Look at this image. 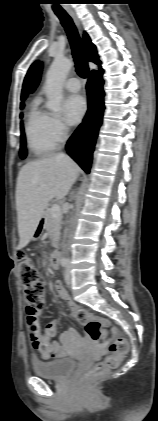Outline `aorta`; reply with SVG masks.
I'll return each instance as SVG.
<instances>
[{"label": "aorta", "instance_id": "762f6f07", "mask_svg": "<svg viewBox=\"0 0 158 421\" xmlns=\"http://www.w3.org/2000/svg\"><path fill=\"white\" fill-rule=\"evenodd\" d=\"M73 66V62L66 58H56L47 74L44 91L48 97V108L54 112L61 110L63 100V84Z\"/></svg>", "mask_w": 158, "mask_h": 421}]
</instances>
